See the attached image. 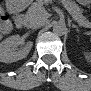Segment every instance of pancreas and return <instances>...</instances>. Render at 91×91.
<instances>
[{"instance_id": "obj_1", "label": "pancreas", "mask_w": 91, "mask_h": 91, "mask_svg": "<svg viewBox=\"0 0 91 91\" xmlns=\"http://www.w3.org/2000/svg\"><path fill=\"white\" fill-rule=\"evenodd\" d=\"M66 9L69 10L73 19L76 20L81 26L89 27L90 22L81 14L80 7L72 1L63 2ZM45 9L43 7V2H34L28 9L25 20L27 22H36L44 18Z\"/></svg>"}]
</instances>
